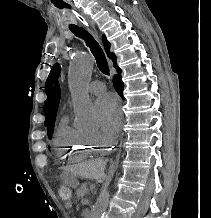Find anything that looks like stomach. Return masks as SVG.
<instances>
[{
	"label": "stomach",
	"instance_id": "stomach-1",
	"mask_svg": "<svg viewBox=\"0 0 211 218\" xmlns=\"http://www.w3.org/2000/svg\"><path fill=\"white\" fill-rule=\"evenodd\" d=\"M64 183L69 186L76 188L79 185L77 176L75 174H68L64 177Z\"/></svg>",
	"mask_w": 211,
	"mask_h": 218
}]
</instances>
